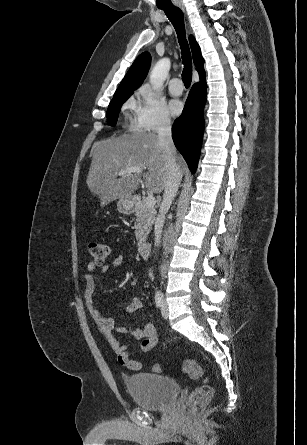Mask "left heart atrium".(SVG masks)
<instances>
[{
    "label": "left heart atrium",
    "instance_id": "39dd6f15",
    "mask_svg": "<svg viewBox=\"0 0 307 445\" xmlns=\"http://www.w3.org/2000/svg\"><path fill=\"white\" fill-rule=\"evenodd\" d=\"M168 108L172 115L178 116L183 110L182 102L179 99H171L168 102Z\"/></svg>",
    "mask_w": 307,
    "mask_h": 445
}]
</instances>
